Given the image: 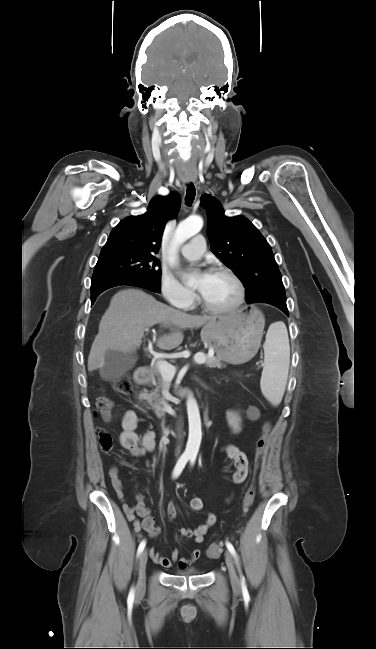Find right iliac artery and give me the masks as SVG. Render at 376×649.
Listing matches in <instances>:
<instances>
[{"label": "right iliac artery", "instance_id": "right-iliac-artery-1", "mask_svg": "<svg viewBox=\"0 0 376 649\" xmlns=\"http://www.w3.org/2000/svg\"><path fill=\"white\" fill-rule=\"evenodd\" d=\"M189 459H190V456H188V455H182V456L179 458V460H178V462H177V464L175 465V468H174V470H173V477H174V478H177V477L181 474L182 470L184 469V467H185V465L187 464V462H188ZM145 545H146V541H145V540H143V541L139 544L138 551H137V555H138V556H139V555L142 553V551L144 550ZM129 596H130V598H133V597H134V589H133V588H132V590L130 591Z\"/></svg>", "mask_w": 376, "mask_h": 649}]
</instances>
